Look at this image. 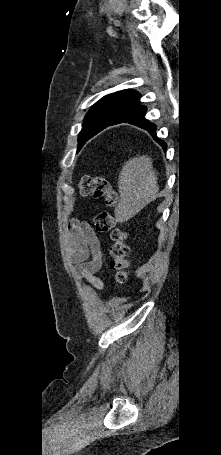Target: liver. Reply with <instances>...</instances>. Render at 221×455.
I'll list each match as a JSON object with an SVG mask.
<instances>
[{
  "instance_id": "6515ba94",
  "label": "liver",
  "mask_w": 221,
  "mask_h": 455,
  "mask_svg": "<svg viewBox=\"0 0 221 455\" xmlns=\"http://www.w3.org/2000/svg\"><path fill=\"white\" fill-rule=\"evenodd\" d=\"M157 179L152 160L147 155L136 156L124 163L118 179L120 199L114 210L117 222L128 221L157 197Z\"/></svg>"
}]
</instances>
